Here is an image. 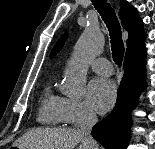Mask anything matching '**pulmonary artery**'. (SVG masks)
Here are the masks:
<instances>
[{
  "label": "pulmonary artery",
  "mask_w": 155,
  "mask_h": 149,
  "mask_svg": "<svg viewBox=\"0 0 155 149\" xmlns=\"http://www.w3.org/2000/svg\"><path fill=\"white\" fill-rule=\"evenodd\" d=\"M90 66L98 74L109 76L113 72L111 63L105 58H97L90 62Z\"/></svg>",
  "instance_id": "1"
}]
</instances>
